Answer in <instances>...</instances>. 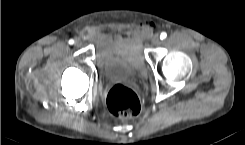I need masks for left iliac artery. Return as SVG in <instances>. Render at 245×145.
I'll list each match as a JSON object with an SVG mask.
<instances>
[{
    "instance_id": "44dca946",
    "label": "left iliac artery",
    "mask_w": 245,
    "mask_h": 145,
    "mask_svg": "<svg viewBox=\"0 0 245 145\" xmlns=\"http://www.w3.org/2000/svg\"><path fill=\"white\" fill-rule=\"evenodd\" d=\"M166 37H167V34H166L165 32H162V33L160 34V39H161V40L165 39Z\"/></svg>"
}]
</instances>
